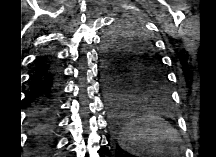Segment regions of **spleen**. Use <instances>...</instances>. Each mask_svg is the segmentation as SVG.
<instances>
[{"instance_id":"obj_1","label":"spleen","mask_w":216,"mask_h":157,"mask_svg":"<svg viewBox=\"0 0 216 157\" xmlns=\"http://www.w3.org/2000/svg\"><path fill=\"white\" fill-rule=\"evenodd\" d=\"M118 140L123 150L141 156L171 149L178 142V135L161 118L144 115L131 119Z\"/></svg>"}]
</instances>
